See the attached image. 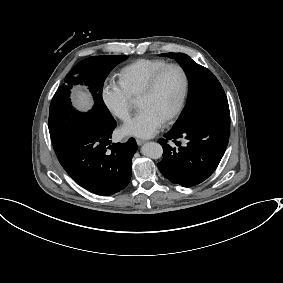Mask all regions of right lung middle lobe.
I'll list each match as a JSON object with an SVG mask.
<instances>
[{
  "mask_svg": "<svg viewBox=\"0 0 283 283\" xmlns=\"http://www.w3.org/2000/svg\"><path fill=\"white\" fill-rule=\"evenodd\" d=\"M127 56H94L79 62L66 76L65 83L55 93L49 111V132L57 155L71 147L78 132L90 121H106L112 117L102 99L103 84L112 71ZM88 87L94 99V107L87 113L73 109L70 89L73 85Z\"/></svg>",
  "mask_w": 283,
  "mask_h": 283,
  "instance_id": "1",
  "label": "right lung middle lobe"
}]
</instances>
